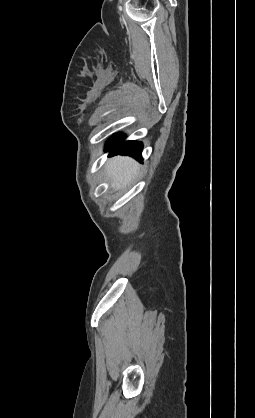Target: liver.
I'll list each match as a JSON object with an SVG mask.
<instances>
[{"instance_id": "obj_1", "label": "liver", "mask_w": 255, "mask_h": 418, "mask_svg": "<svg viewBox=\"0 0 255 418\" xmlns=\"http://www.w3.org/2000/svg\"><path fill=\"white\" fill-rule=\"evenodd\" d=\"M138 170V163L129 157H114L106 164L107 178L116 190L126 187L137 175Z\"/></svg>"}]
</instances>
